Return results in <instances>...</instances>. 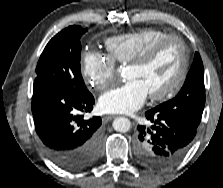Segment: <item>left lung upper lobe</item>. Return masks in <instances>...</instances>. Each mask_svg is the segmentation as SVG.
Listing matches in <instances>:
<instances>
[{
	"label": "left lung upper lobe",
	"instance_id": "obj_1",
	"mask_svg": "<svg viewBox=\"0 0 223 188\" xmlns=\"http://www.w3.org/2000/svg\"><path fill=\"white\" fill-rule=\"evenodd\" d=\"M205 105L204 68L196 52L193 64L177 96L153 108L166 117L198 127Z\"/></svg>",
	"mask_w": 223,
	"mask_h": 188
}]
</instances>
